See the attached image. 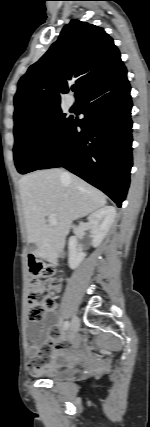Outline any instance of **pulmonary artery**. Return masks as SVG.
Returning <instances> with one entry per match:
<instances>
[{
  "label": "pulmonary artery",
  "instance_id": "obj_1",
  "mask_svg": "<svg viewBox=\"0 0 150 427\" xmlns=\"http://www.w3.org/2000/svg\"><path fill=\"white\" fill-rule=\"evenodd\" d=\"M65 103L68 107H72L74 105V99L71 96H67Z\"/></svg>",
  "mask_w": 150,
  "mask_h": 427
}]
</instances>
